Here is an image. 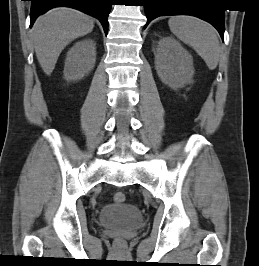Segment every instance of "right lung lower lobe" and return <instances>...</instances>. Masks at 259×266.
<instances>
[{
  "label": "right lung lower lobe",
  "instance_id": "1",
  "mask_svg": "<svg viewBox=\"0 0 259 266\" xmlns=\"http://www.w3.org/2000/svg\"><path fill=\"white\" fill-rule=\"evenodd\" d=\"M31 1V23L33 25L35 19L57 6H67L78 9L87 13L102 23L105 34L108 32V15L112 7V0H30Z\"/></svg>",
  "mask_w": 259,
  "mask_h": 266
}]
</instances>
